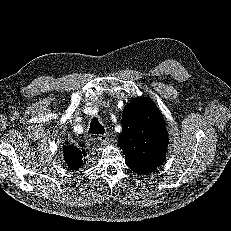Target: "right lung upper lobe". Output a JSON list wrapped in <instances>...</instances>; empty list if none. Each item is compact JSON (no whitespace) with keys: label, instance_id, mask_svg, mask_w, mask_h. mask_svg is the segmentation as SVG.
Wrapping results in <instances>:
<instances>
[{"label":"right lung upper lobe","instance_id":"right-lung-upper-lobe-1","mask_svg":"<svg viewBox=\"0 0 231 231\" xmlns=\"http://www.w3.org/2000/svg\"><path fill=\"white\" fill-rule=\"evenodd\" d=\"M64 155H65V158L64 160L66 161V163L68 164V166L73 169V170H76V169H79L83 162H82V155L85 156L86 154L85 153H81L79 156H76L72 153H69L67 151L64 150Z\"/></svg>","mask_w":231,"mask_h":231}]
</instances>
